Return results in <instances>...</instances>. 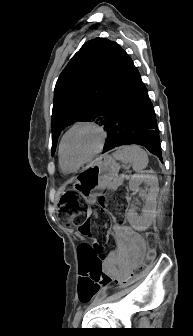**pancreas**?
Returning a JSON list of instances; mask_svg holds the SVG:
<instances>
[{"label": "pancreas", "mask_w": 193, "mask_h": 336, "mask_svg": "<svg viewBox=\"0 0 193 336\" xmlns=\"http://www.w3.org/2000/svg\"><path fill=\"white\" fill-rule=\"evenodd\" d=\"M123 183V177H115L110 184L108 193L112 194L117 187H119Z\"/></svg>", "instance_id": "cf45deb5"}]
</instances>
